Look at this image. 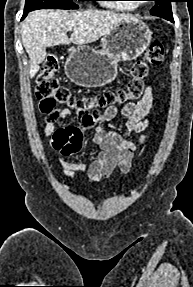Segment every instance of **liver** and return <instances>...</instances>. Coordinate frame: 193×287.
Returning <instances> with one entry per match:
<instances>
[{
	"mask_svg": "<svg viewBox=\"0 0 193 287\" xmlns=\"http://www.w3.org/2000/svg\"><path fill=\"white\" fill-rule=\"evenodd\" d=\"M128 20L136 19L130 15L101 10H37L29 13L21 25V37L30 58V78L39 71L47 47L93 43ZM68 31H72L70 38L67 36Z\"/></svg>",
	"mask_w": 193,
	"mask_h": 287,
	"instance_id": "obj_1",
	"label": "liver"
}]
</instances>
